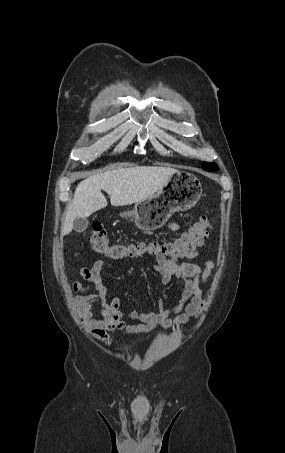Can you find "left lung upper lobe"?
I'll return each mask as SVG.
<instances>
[{"mask_svg":"<svg viewBox=\"0 0 285 453\" xmlns=\"http://www.w3.org/2000/svg\"><path fill=\"white\" fill-rule=\"evenodd\" d=\"M202 168L205 169V170H214V169H218L217 165L214 164V163H206V162H203L202 163Z\"/></svg>","mask_w":285,"mask_h":453,"instance_id":"5c2ea615","label":"left lung upper lobe"}]
</instances>
